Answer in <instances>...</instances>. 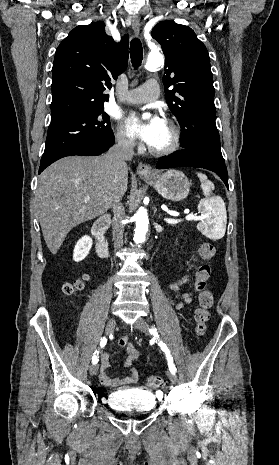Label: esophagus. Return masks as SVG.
Masks as SVG:
<instances>
[{
    "instance_id": "1",
    "label": "esophagus",
    "mask_w": 279,
    "mask_h": 465,
    "mask_svg": "<svg viewBox=\"0 0 279 465\" xmlns=\"http://www.w3.org/2000/svg\"><path fill=\"white\" fill-rule=\"evenodd\" d=\"M130 21H131L132 29L134 30L135 34L139 35L140 27H141L140 19L137 16H132L130 18ZM137 173L141 177H148V176H151L153 172H152L150 165L145 164V163H140L137 167Z\"/></svg>"
}]
</instances>
